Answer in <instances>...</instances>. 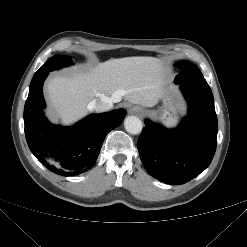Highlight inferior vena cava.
Masks as SVG:
<instances>
[{"mask_svg":"<svg viewBox=\"0 0 247 247\" xmlns=\"http://www.w3.org/2000/svg\"><path fill=\"white\" fill-rule=\"evenodd\" d=\"M116 97L103 96L100 99H94L88 104L89 109H94L96 112H105L113 108V103L116 102Z\"/></svg>","mask_w":247,"mask_h":247,"instance_id":"inferior-vena-cava-1","label":"inferior vena cava"}]
</instances>
